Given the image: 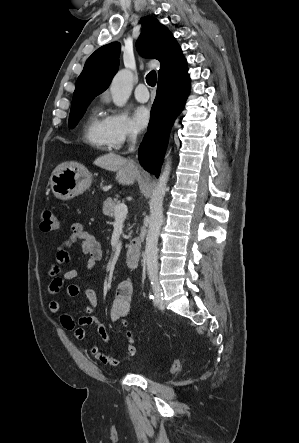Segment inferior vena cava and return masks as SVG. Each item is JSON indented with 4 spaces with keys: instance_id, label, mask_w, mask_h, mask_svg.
I'll list each match as a JSON object with an SVG mask.
<instances>
[{
    "instance_id": "inferior-vena-cava-1",
    "label": "inferior vena cava",
    "mask_w": 299,
    "mask_h": 443,
    "mask_svg": "<svg viewBox=\"0 0 299 443\" xmlns=\"http://www.w3.org/2000/svg\"><path fill=\"white\" fill-rule=\"evenodd\" d=\"M129 134H130V137H131V140H132V143H133V145L130 147L129 150H130V151H133V149H134V144H135V141H136V133L133 132V131H130Z\"/></svg>"
}]
</instances>
